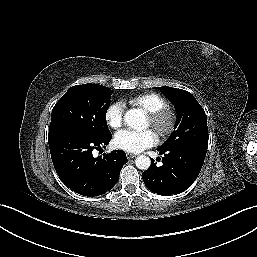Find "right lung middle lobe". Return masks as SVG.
<instances>
[{
	"label": "right lung middle lobe",
	"instance_id": "obj_1",
	"mask_svg": "<svg viewBox=\"0 0 257 257\" xmlns=\"http://www.w3.org/2000/svg\"><path fill=\"white\" fill-rule=\"evenodd\" d=\"M112 90L99 84L76 85L68 89L52 110L49 133L79 130L97 138L111 135L106 111Z\"/></svg>",
	"mask_w": 257,
	"mask_h": 257
}]
</instances>
